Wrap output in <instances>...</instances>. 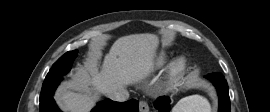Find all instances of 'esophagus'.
Returning <instances> with one entry per match:
<instances>
[{"label":"esophagus","instance_id":"obj_1","mask_svg":"<svg viewBox=\"0 0 270 112\" xmlns=\"http://www.w3.org/2000/svg\"><path fill=\"white\" fill-rule=\"evenodd\" d=\"M139 111L140 112H149V106L146 101L139 102Z\"/></svg>","mask_w":270,"mask_h":112}]
</instances>
